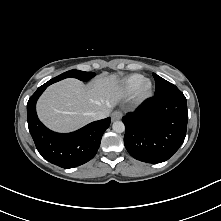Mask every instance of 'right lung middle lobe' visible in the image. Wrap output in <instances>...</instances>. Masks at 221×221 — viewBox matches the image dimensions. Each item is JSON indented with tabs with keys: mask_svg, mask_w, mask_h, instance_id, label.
I'll list each match as a JSON object with an SVG mask.
<instances>
[{
	"mask_svg": "<svg viewBox=\"0 0 221 221\" xmlns=\"http://www.w3.org/2000/svg\"><path fill=\"white\" fill-rule=\"evenodd\" d=\"M94 76H95L94 72H84V71H80V70H70V71H67V72H64V73L58 75L57 77L49 80L46 83L48 85H50L52 83H55L57 81H60L62 79L69 78V77L77 78V79L83 80V81H88Z\"/></svg>",
	"mask_w": 221,
	"mask_h": 221,
	"instance_id": "dd1d6c3e",
	"label": "right lung middle lobe"
}]
</instances>
